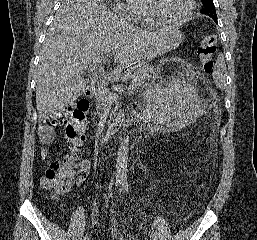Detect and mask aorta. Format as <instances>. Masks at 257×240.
Returning a JSON list of instances; mask_svg holds the SVG:
<instances>
[{
	"instance_id": "aorta-1",
	"label": "aorta",
	"mask_w": 257,
	"mask_h": 240,
	"mask_svg": "<svg viewBox=\"0 0 257 240\" xmlns=\"http://www.w3.org/2000/svg\"><path fill=\"white\" fill-rule=\"evenodd\" d=\"M129 135L124 137L119 152L117 156V164H116V178L120 181H125L127 179V171H128V152H129Z\"/></svg>"
}]
</instances>
